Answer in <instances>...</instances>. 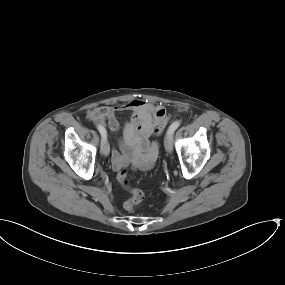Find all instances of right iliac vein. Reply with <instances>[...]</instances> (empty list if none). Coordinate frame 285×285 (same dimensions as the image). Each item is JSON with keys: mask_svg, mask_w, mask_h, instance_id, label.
<instances>
[{"mask_svg": "<svg viewBox=\"0 0 285 285\" xmlns=\"http://www.w3.org/2000/svg\"><path fill=\"white\" fill-rule=\"evenodd\" d=\"M110 151L109 141L107 137H102L101 139V152L104 156H108Z\"/></svg>", "mask_w": 285, "mask_h": 285, "instance_id": "63e3f726", "label": "right iliac vein"}]
</instances>
